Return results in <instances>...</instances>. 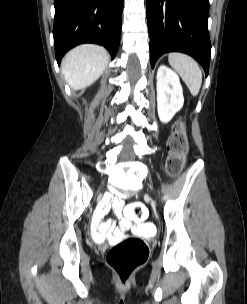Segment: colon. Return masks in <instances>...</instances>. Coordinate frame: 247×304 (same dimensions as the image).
I'll return each instance as SVG.
<instances>
[{"label": "colon", "mask_w": 247, "mask_h": 304, "mask_svg": "<svg viewBox=\"0 0 247 304\" xmlns=\"http://www.w3.org/2000/svg\"><path fill=\"white\" fill-rule=\"evenodd\" d=\"M188 144L183 122L175 124L168 142L169 156L167 171L170 175H177L185 163ZM146 202H130L125 209L126 215L133 220L134 234L123 242L113 246L107 254V263L118 277L119 284L127 286L133 273L146 261L149 247L143 238H158L159 232L154 224H142L148 217Z\"/></svg>", "instance_id": "colon-1"}]
</instances>
